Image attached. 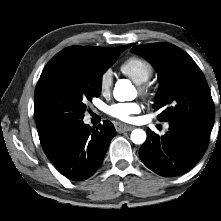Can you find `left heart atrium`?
<instances>
[{
  "label": "left heart atrium",
  "instance_id": "left-heart-atrium-1",
  "mask_svg": "<svg viewBox=\"0 0 221 221\" xmlns=\"http://www.w3.org/2000/svg\"><path fill=\"white\" fill-rule=\"evenodd\" d=\"M140 106L138 103H116L108 107L107 113L122 121H130L132 117L140 112Z\"/></svg>",
  "mask_w": 221,
  "mask_h": 221
}]
</instances>
